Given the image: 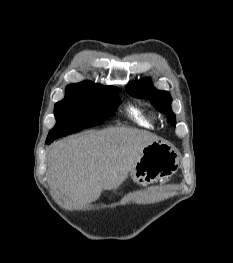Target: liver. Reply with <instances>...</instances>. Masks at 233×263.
<instances>
[{"instance_id":"liver-1","label":"liver","mask_w":233,"mask_h":263,"mask_svg":"<svg viewBox=\"0 0 233 263\" xmlns=\"http://www.w3.org/2000/svg\"><path fill=\"white\" fill-rule=\"evenodd\" d=\"M157 136L133 128L88 131L55 142L48 152L50 181L78 205L117 189L132 171L142 149Z\"/></svg>"}]
</instances>
